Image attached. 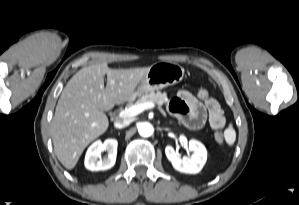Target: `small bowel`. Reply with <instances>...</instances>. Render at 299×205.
Here are the masks:
<instances>
[{"label": "small bowel", "mask_w": 299, "mask_h": 205, "mask_svg": "<svg viewBox=\"0 0 299 205\" xmlns=\"http://www.w3.org/2000/svg\"><path fill=\"white\" fill-rule=\"evenodd\" d=\"M200 101L191 92L181 90L169 103V111L190 129H198L208 123L213 129L221 130L226 120L223 110L214 98Z\"/></svg>", "instance_id": "1"}]
</instances>
